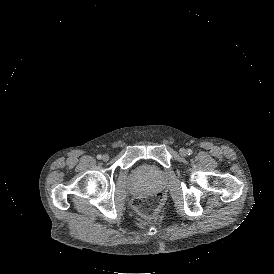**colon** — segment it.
I'll return each instance as SVG.
<instances>
[{
    "instance_id": "5ec220e1",
    "label": "colon",
    "mask_w": 274,
    "mask_h": 274,
    "mask_svg": "<svg viewBox=\"0 0 274 274\" xmlns=\"http://www.w3.org/2000/svg\"><path fill=\"white\" fill-rule=\"evenodd\" d=\"M165 197L161 191H154L149 196H135L131 205L141 220L155 219L163 209Z\"/></svg>"
}]
</instances>
